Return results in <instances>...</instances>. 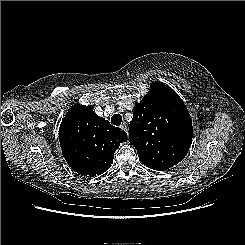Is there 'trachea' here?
I'll list each match as a JSON object with an SVG mask.
<instances>
[{"label": "trachea", "instance_id": "obj_1", "mask_svg": "<svg viewBox=\"0 0 245 245\" xmlns=\"http://www.w3.org/2000/svg\"><path fill=\"white\" fill-rule=\"evenodd\" d=\"M111 122L114 124V125H117L119 126L122 122V117L120 114H114L112 117H111Z\"/></svg>", "mask_w": 245, "mask_h": 245}]
</instances>
